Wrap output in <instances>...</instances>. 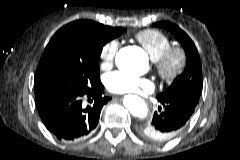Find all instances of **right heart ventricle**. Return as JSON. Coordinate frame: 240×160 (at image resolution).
I'll use <instances>...</instances> for the list:
<instances>
[{
  "instance_id": "1",
  "label": "right heart ventricle",
  "mask_w": 240,
  "mask_h": 160,
  "mask_svg": "<svg viewBox=\"0 0 240 160\" xmlns=\"http://www.w3.org/2000/svg\"><path fill=\"white\" fill-rule=\"evenodd\" d=\"M135 39L147 51L153 61L157 60L171 45L170 38L156 29L142 30L135 35Z\"/></svg>"
}]
</instances>
